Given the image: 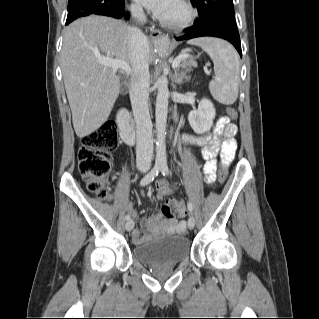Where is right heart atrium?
I'll return each mask as SVG.
<instances>
[{"instance_id":"right-heart-atrium-1","label":"right heart atrium","mask_w":319,"mask_h":319,"mask_svg":"<svg viewBox=\"0 0 319 319\" xmlns=\"http://www.w3.org/2000/svg\"><path fill=\"white\" fill-rule=\"evenodd\" d=\"M132 8L135 10V11H139L140 10V8H139V6L138 5H132Z\"/></svg>"}]
</instances>
